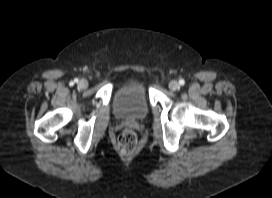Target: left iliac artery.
<instances>
[{
    "instance_id": "obj_1",
    "label": "left iliac artery",
    "mask_w": 272,
    "mask_h": 198,
    "mask_svg": "<svg viewBox=\"0 0 272 198\" xmlns=\"http://www.w3.org/2000/svg\"><path fill=\"white\" fill-rule=\"evenodd\" d=\"M179 84L183 86L185 84V81L183 79H180Z\"/></svg>"
}]
</instances>
